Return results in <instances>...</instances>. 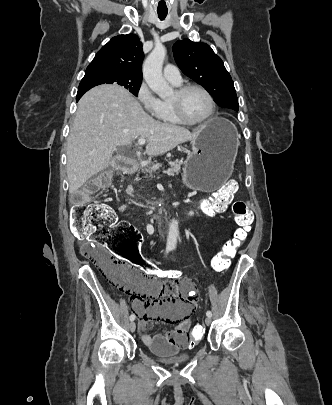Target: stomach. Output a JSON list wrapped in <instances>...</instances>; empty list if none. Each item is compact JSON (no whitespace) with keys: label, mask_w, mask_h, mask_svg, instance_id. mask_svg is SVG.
<instances>
[{"label":"stomach","mask_w":332,"mask_h":405,"mask_svg":"<svg viewBox=\"0 0 332 405\" xmlns=\"http://www.w3.org/2000/svg\"><path fill=\"white\" fill-rule=\"evenodd\" d=\"M239 147L235 126L225 118L214 117L200 127L192 140L183 178L189 187L214 191L230 178Z\"/></svg>","instance_id":"1"}]
</instances>
